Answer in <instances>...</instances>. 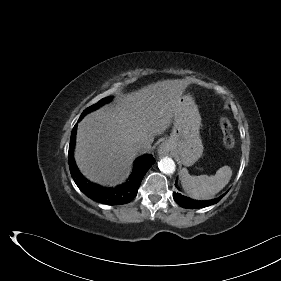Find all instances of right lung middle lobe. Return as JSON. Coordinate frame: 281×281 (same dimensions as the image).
Here are the masks:
<instances>
[{"label":"right lung middle lobe","instance_id":"obj_1","mask_svg":"<svg viewBox=\"0 0 281 281\" xmlns=\"http://www.w3.org/2000/svg\"><path fill=\"white\" fill-rule=\"evenodd\" d=\"M110 100H111V97H106V98L100 100L98 103H96V104H94L93 106H90V107H88L87 109H85L81 115H82V116L86 115L88 112L97 109L98 107H100V106H102L103 104L109 102Z\"/></svg>","mask_w":281,"mask_h":281}]
</instances>
